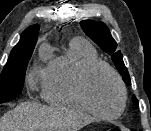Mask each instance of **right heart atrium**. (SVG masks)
<instances>
[{
	"mask_svg": "<svg viewBox=\"0 0 151 131\" xmlns=\"http://www.w3.org/2000/svg\"><path fill=\"white\" fill-rule=\"evenodd\" d=\"M45 68L46 67L36 66L29 73L28 82L32 89H36L42 84Z\"/></svg>",
	"mask_w": 151,
	"mask_h": 131,
	"instance_id": "obj_1",
	"label": "right heart atrium"
}]
</instances>
